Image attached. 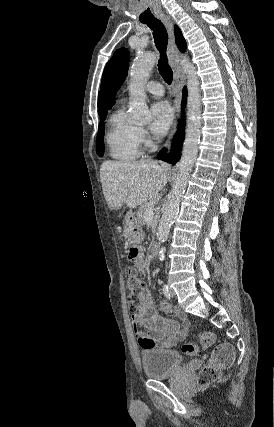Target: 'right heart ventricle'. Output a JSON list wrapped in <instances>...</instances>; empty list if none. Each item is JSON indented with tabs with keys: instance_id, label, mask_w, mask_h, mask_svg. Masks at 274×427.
<instances>
[{
	"instance_id": "right-heart-ventricle-1",
	"label": "right heart ventricle",
	"mask_w": 274,
	"mask_h": 427,
	"mask_svg": "<svg viewBox=\"0 0 274 427\" xmlns=\"http://www.w3.org/2000/svg\"><path fill=\"white\" fill-rule=\"evenodd\" d=\"M109 156L121 162H133L142 154L140 130L119 109L112 117V127L106 136Z\"/></svg>"
}]
</instances>
